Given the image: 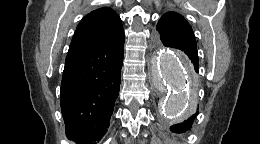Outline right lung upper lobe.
Wrapping results in <instances>:
<instances>
[{"label": "right lung upper lobe", "mask_w": 260, "mask_h": 144, "mask_svg": "<svg viewBox=\"0 0 260 144\" xmlns=\"http://www.w3.org/2000/svg\"><path fill=\"white\" fill-rule=\"evenodd\" d=\"M122 37L124 30L119 15L109 7H102L83 17L68 52L118 41Z\"/></svg>", "instance_id": "obj_1"}]
</instances>
